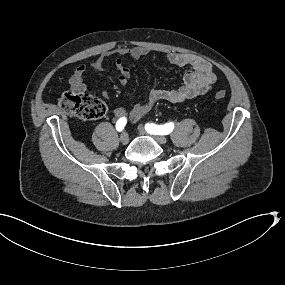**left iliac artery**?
I'll use <instances>...</instances> for the list:
<instances>
[{
    "mask_svg": "<svg viewBox=\"0 0 285 285\" xmlns=\"http://www.w3.org/2000/svg\"><path fill=\"white\" fill-rule=\"evenodd\" d=\"M174 124L172 122L164 125H156L154 123H147L145 129L150 134L167 135L173 131Z\"/></svg>",
    "mask_w": 285,
    "mask_h": 285,
    "instance_id": "left-iliac-artery-1",
    "label": "left iliac artery"
}]
</instances>
